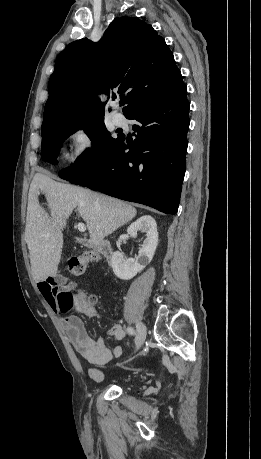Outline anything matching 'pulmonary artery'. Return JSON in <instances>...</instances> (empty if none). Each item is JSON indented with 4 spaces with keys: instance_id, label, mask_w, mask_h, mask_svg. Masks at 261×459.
Wrapping results in <instances>:
<instances>
[{
    "instance_id": "e3ab8cb5",
    "label": "pulmonary artery",
    "mask_w": 261,
    "mask_h": 459,
    "mask_svg": "<svg viewBox=\"0 0 261 459\" xmlns=\"http://www.w3.org/2000/svg\"><path fill=\"white\" fill-rule=\"evenodd\" d=\"M113 121L117 126H123L126 124V119L121 113H115L113 115Z\"/></svg>"
}]
</instances>
